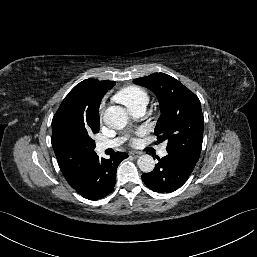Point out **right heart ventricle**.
<instances>
[{"label": "right heart ventricle", "mask_w": 257, "mask_h": 257, "mask_svg": "<svg viewBox=\"0 0 257 257\" xmlns=\"http://www.w3.org/2000/svg\"><path fill=\"white\" fill-rule=\"evenodd\" d=\"M115 99L124 104L128 110L138 107L145 106L149 102L148 92L139 86H128L121 89L116 95Z\"/></svg>", "instance_id": "right-heart-ventricle-1"}]
</instances>
